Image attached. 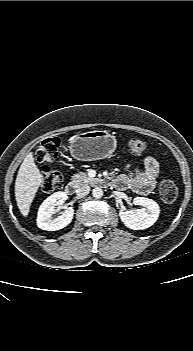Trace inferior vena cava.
<instances>
[{
  "mask_svg": "<svg viewBox=\"0 0 193 351\" xmlns=\"http://www.w3.org/2000/svg\"><path fill=\"white\" fill-rule=\"evenodd\" d=\"M75 192L78 196H86L90 192V186L87 184H80L77 186Z\"/></svg>",
  "mask_w": 193,
  "mask_h": 351,
  "instance_id": "obj_1",
  "label": "inferior vena cava"
}]
</instances>
